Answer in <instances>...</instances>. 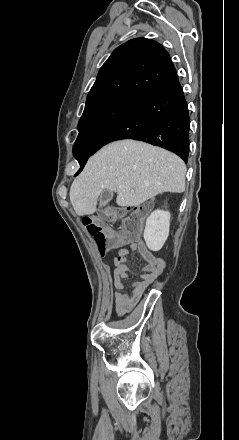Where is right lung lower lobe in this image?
I'll return each mask as SVG.
<instances>
[{
  "label": "right lung lower lobe",
  "mask_w": 239,
  "mask_h": 440,
  "mask_svg": "<svg viewBox=\"0 0 239 440\" xmlns=\"http://www.w3.org/2000/svg\"><path fill=\"white\" fill-rule=\"evenodd\" d=\"M188 106L175 68L148 91L133 98L88 153L75 154L83 169L88 158L105 144L134 139L174 152L183 161L189 154ZM77 173V174H78Z\"/></svg>",
  "instance_id": "98d812e1"
}]
</instances>
